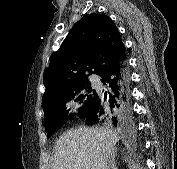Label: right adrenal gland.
Instances as JSON below:
<instances>
[{"label":"right adrenal gland","mask_w":177,"mask_h":169,"mask_svg":"<svg viewBox=\"0 0 177 169\" xmlns=\"http://www.w3.org/2000/svg\"><path fill=\"white\" fill-rule=\"evenodd\" d=\"M116 150L113 151V155H112V161H111V169H118V167L116 166Z\"/></svg>","instance_id":"2a0ac1e0"}]
</instances>
